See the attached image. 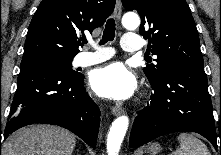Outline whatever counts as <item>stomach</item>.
Wrapping results in <instances>:
<instances>
[{
	"mask_svg": "<svg viewBox=\"0 0 221 155\" xmlns=\"http://www.w3.org/2000/svg\"><path fill=\"white\" fill-rule=\"evenodd\" d=\"M160 149L161 148L157 143H152L149 146H147V152H149L151 155H157Z\"/></svg>",
	"mask_w": 221,
	"mask_h": 155,
	"instance_id": "0dacf381",
	"label": "stomach"
}]
</instances>
